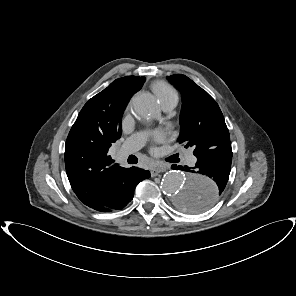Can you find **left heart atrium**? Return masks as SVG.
<instances>
[{
  "label": "left heart atrium",
  "instance_id": "1",
  "mask_svg": "<svg viewBox=\"0 0 296 296\" xmlns=\"http://www.w3.org/2000/svg\"><path fill=\"white\" fill-rule=\"evenodd\" d=\"M152 139L154 142H162L166 139L165 131L158 129L152 132Z\"/></svg>",
  "mask_w": 296,
  "mask_h": 296
}]
</instances>
